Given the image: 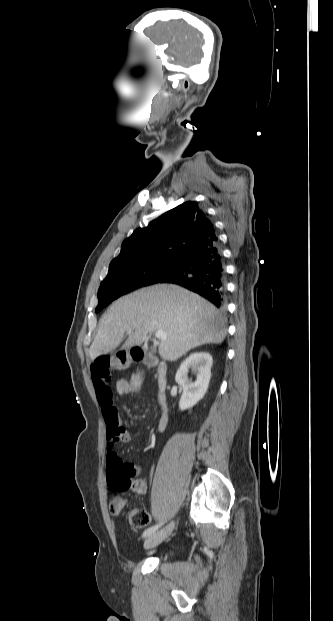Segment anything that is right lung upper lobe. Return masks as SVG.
I'll return each instance as SVG.
<instances>
[{
  "mask_svg": "<svg viewBox=\"0 0 333 621\" xmlns=\"http://www.w3.org/2000/svg\"><path fill=\"white\" fill-rule=\"evenodd\" d=\"M217 240L213 223L197 202L187 201L165 212L125 239L121 252L111 261L126 263L159 257L183 258Z\"/></svg>",
  "mask_w": 333,
  "mask_h": 621,
  "instance_id": "right-lung-upper-lobe-1",
  "label": "right lung upper lobe"
}]
</instances>
